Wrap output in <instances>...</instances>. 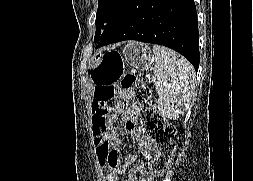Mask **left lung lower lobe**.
I'll return each instance as SVG.
<instances>
[{
	"label": "left lung lower lobe",
	"mask_w": 253,
	"mask_h": 181,
	"mask_svg": "<svg viewBox=\"0 0 253 181\" xmlns=\"http://www.w3.org/2000/svg\"><path fill=\"white\" fill-rule=\"evenodd\" d=\"M138 40L169 47L199 67L198 24L193 0H131L97 46Z\"/></svg>",
	"instance_id": "left-lung-lower-lobe-1"
}]
</instances>
